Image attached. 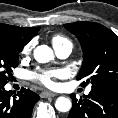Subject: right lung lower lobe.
I'll return each mask as SVG.
<instances>
[{"label":"right lung lower lobe","mask_w":118,"mask_h":118,"mask_svg":"<svg viewBox=\"0 0 118 118\" xmlns=\"http://www.w3.org/2000/svg\"><path fill=\"white\" fill-rule=\"evenodd\" d=\"M0 86V118H30L38 94L22 88L17 95Z\"/></svg>","instance_id":"obj_1"}]
</instances>
